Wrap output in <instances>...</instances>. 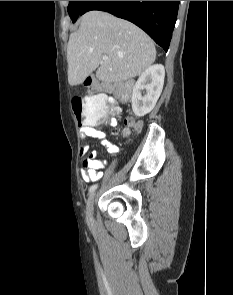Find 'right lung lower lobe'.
I'll use <instances>...</instances> for the list:
<instances>
[{
  "mask_svg": "<svg viewBox=\"0 0 233 295\" xmlns=\"http://www.w3.org/2000/svg\"><path fill=\"white\" fill-rule=\"evenodd\" d=\"M180 1H86L80 15L100 10L133 22L168 50Z\"/></svg>",
  "mask_w": 233,
  "mask_h": 295,
  "instance_id": "1",
  "label": "right lung lower lobe"
}]
</instances>
